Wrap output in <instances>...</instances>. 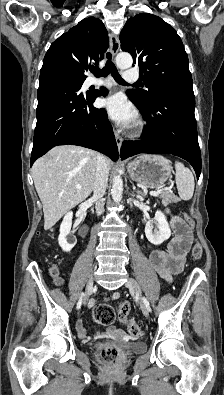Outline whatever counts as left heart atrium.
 <instances>
[{
  "mask_svg": "<svg viewBox=\"0 0 224 395\" xmlns=\"http://www.w3.org/2000/svg\"><path fill=\"white\" fill-rule=\"evenodd\" d=\"M103 107L108 115L119 123L128 124L135 120V110L120 94L113 95L104 100Z\"/></svg>",
  "mask_w": 224,
  "mask_h": 395,
  "instance_id": "obj_1",
  "label": "left heart atrium"
}]
</instances>
